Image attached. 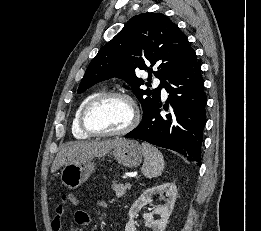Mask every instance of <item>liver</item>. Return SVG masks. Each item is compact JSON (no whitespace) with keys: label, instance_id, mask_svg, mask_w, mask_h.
<instances>
[{"label":"liver","instance_id":"liver-1","mask_svg":"<svg viewBox=\"0 0 261 231\" xmlns=\"http://www.w3.org/2000/svg\"><path fill=\"white\" fill-rule=\"evenodd\" d=\"M122 141V139H110L68 143L58 152L52 164L51 173L69 163H81L92 160L94 157L104 156Z\"/></svg>","mask_w":261,"mask_h":231}]
</instances>
